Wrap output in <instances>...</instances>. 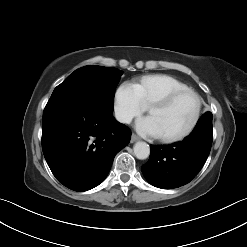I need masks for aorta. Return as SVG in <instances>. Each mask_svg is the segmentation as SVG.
<instances>
[{
	"mask_svg": "<svg viewBox=\"0 0 247 247\" xmlns=\"http://www.w3.org/2000/svg\"><path fill=\"white\" fill-rule=\"evenodd\" d=\"M133 150L136 158L140 160H144L150 155V147L146 142L139 141L135 143Z\"/></svg>",
	"mask_w": 247,
	"mask_h": 247,
	"instance_id": "1",
	"label": "aorta"
}]
</instances>
